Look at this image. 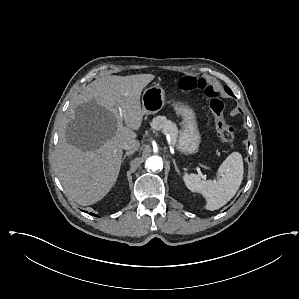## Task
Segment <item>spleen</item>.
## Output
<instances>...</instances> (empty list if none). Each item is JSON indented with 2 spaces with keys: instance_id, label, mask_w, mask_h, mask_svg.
I'll use <instances>...</instances> for the list:
<instances>
[{
  "instance_id": "spleen-1",
  "label": "spleen",
  "mask_w": 299,
  "mask_h": 299,
  "mask_svg": "<svg viewBox=\"0 0 299 299\" xmlns=\"http://www.w3.org/2000/svg\"><path fill=\"white\" fill-rule=\"evenodd\" d=\"M243 160L238 152L231 153L220 165L218 180H201L197 174L183 176L186 187L203 195L207 210H217L229 202L238 191L243 180Z\"/></svg>"
}]
</instances>
